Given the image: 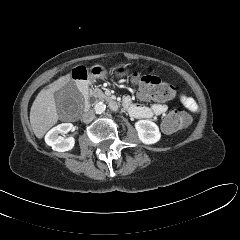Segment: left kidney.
Masks as SVG:
<instances>
[{
    "instance_id": "5707ae66",
    "label": "left kidney",
    "mask_w": 240,
    "mask_h": 240,
    "mask_svg": "<svg viewBox=\"0 0 240 240\" xmlns=\"http://www.w3.org/2000/svg\"><path fill=\"white\" fill-rule=\"evenodd\" d=\"M139 140L144 144H155L161 138L158 126L150 120H139L135 123Z\"/></svg>"
}]
</instances>
